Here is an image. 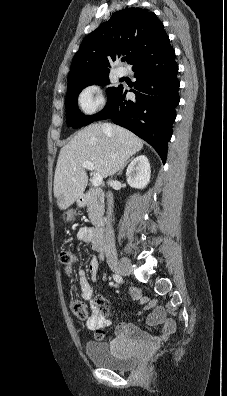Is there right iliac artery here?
I'll list each match as a JSON object with an SVG mask.
<instances>
[{"label": "right iliac artery", "instance_id": "1", "mask_svg": "<svg viewBox=\"0 0 227 396\" xmlns=\"http://www.w3.org/2000/svg\"><path fill=\"white\" fill-rule=\"evenodd\" d=\"M113 279H114L117 283H122V282H123L122 277H121L120 275H118V274H114V275H113Z\"/></svg>", "mask_w": 227, "mask_h": 396}]
</instances>
